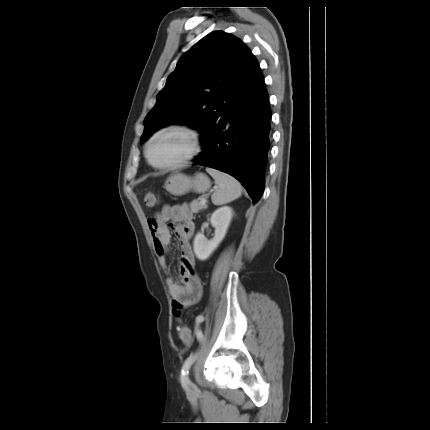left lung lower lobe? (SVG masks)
Segmentation results:
<instances>
[{
	"mask_svg": "<svg viewBox=\"0 0 430 430\" xmlns=\"http://www.w3.org/2000/svg\"><path fill=\"white\" fill-rule=\"evenodd\" d=\"M251 81L253 88L233 101L217 124L200 136L203 151L192 161L238 179L255 204L265 186L271 109L261 69Z\"/></svg>",
	"mask_w": 430,
	"mask_h": 430,
	"instance_id": "left-lung-lower-lobe-1",
	"label": "left lung lower lobe"
}]
</instances>
